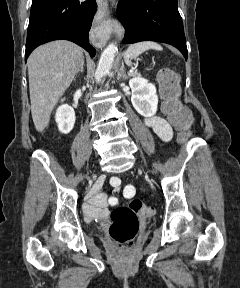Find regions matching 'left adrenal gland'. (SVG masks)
I'll return each mask as SVG.
<instances>
[{
    "mask_svg": "<svg viewBox=\"0 0 240 288\" xmlns=\"http://www.w3.org/2000/svg\"><path fill=\"white\" fill-rule=\"evenodd\" d=\"M120 79H128V76L126 75V72L124 69V62L123 61L121 63V67H120L118 74H117V80H120Z\"/></svg>",
    "mask_w": 240,
    "mask_h": 288,
    "instance_id": "1",
    "label": "left adrenal gland"
}]
</instances>
